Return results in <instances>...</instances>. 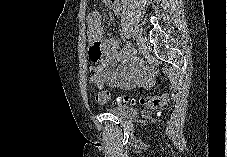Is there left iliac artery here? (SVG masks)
Instances as JSON below:
<instances>
[{"label":"left iliac artery","instance_id":"1","mask_svg":"<svg viewBox=\"0 0 227 157\" xmlns=\"http://www.w3.org/2000/svg\"><path fill=\"white\" fill-rule=\"evenodd\" d=\"M128 30L130 31V34H132V37H135L136 39H139L140 38V35L137 34V32H135V29H133L132 26H129L128 27Z\"/></svg>","mask_w":227,"mask_h":157}]
</instances>
